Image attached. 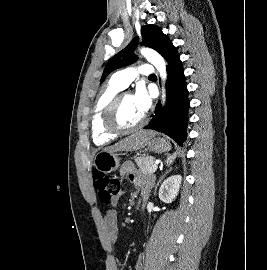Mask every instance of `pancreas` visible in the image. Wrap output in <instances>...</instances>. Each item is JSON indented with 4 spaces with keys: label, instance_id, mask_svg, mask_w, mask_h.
<instances>
[{
    "label": "pancreas",
    "instance_id": "1",
    "mask_svg": "<svg viewBox=\"0 0 267 270\" xmlns=\"http://www.w3.org/2000/svg\"><path fill=\"white\" fill-rule=\"evenodd\" d=\"M135 162L139 168V171L144 175H153L151 170L155 165V159L153 156H140L135 158Z\"/></svg>",
    "mask_w": 267,
    "mask_h": 270
}]
</instances>
